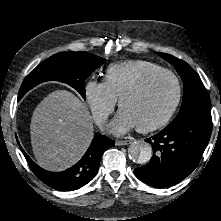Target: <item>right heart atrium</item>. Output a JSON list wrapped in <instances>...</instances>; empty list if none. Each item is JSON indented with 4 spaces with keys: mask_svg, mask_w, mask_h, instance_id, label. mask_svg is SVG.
<instances>
[{
    "mask_svg": "<svg viewBox=\"0 0 221 221\" xmlns=\"http://www.w3.org/2000/svg\"><path fill=\"white\" fill-rule=\"evenodd\" d=\"M84 99L97 124H103L112 114L117 99L104 81L88 79L83 88Z\"/></svg>",
    "mask_w": 221,
    "mask_h": 221,
    "instance_id": "1",
    "label": "right heart atrium"
}]
</instances>
